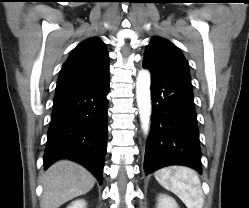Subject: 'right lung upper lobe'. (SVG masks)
Returning a JSON list of instances; mask_svg holds the SVG:
<instances>
[{"label":"right lung upper lobe","instance_id":"obj_1","mask_svg":"<svg viewBox=\"0 0 249 208\" xmlns=\"http://www.w3.org/2000/svg\"><path fill=\"white\" fill-rule=\"evenodd\" d=\"M109 56L105 44L96 37L81 42L64 63L56 93L72 91L96 83L109 75Z\"/></svg>","mask_w":249,"mask_h":208}]
</instances>
